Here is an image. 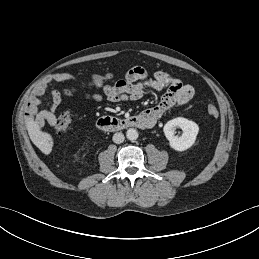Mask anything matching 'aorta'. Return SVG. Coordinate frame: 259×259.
<instances>
[{"label":"aorta","mask_w":259,"mask_h":259,"mask_svg":"<svg viewBox=\"0 0 259 259\" xmlns=\"http://www.w3.org/2000/svg\"><path fill=\"white\" fill-rule=\"evenodd\" d=\"M126 137H127V139L130 140V141L136 140V139L138 138V132H137V130L134 129V128L128 129L127 132H126Z\"/></svg>","instance_id":"762f6f07"}]
</instances>
